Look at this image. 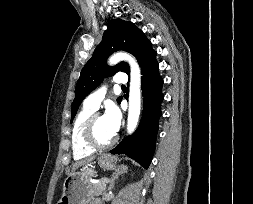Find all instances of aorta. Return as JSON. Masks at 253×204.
<instances>
[{
  "label": "aorta",
  "instance_id": "762f6f07",
  "mask_svg": "<svg viewBox=\"0 0 253 204\" xmlns=\"http://www.w3.org/2000/svg\"><path fill=\"white\" fill-rule=\"evenodd\" d=\"M125 60L129 63L130 72V91H129V110L127 120V131L128 133L134 132L136 129L141 108V74L140 67L135 60L128 53L119 52L112 55L109 59L110 64H116L119 61Z\"/></svg>",
  "mask_w": 253,
  "mask_h": 204
}]
</instances>
